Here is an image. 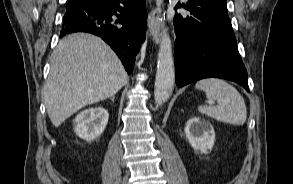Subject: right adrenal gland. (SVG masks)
<instances>
[{
  "label": "right adrenal gland",
  "instance_id": "obj_1",
  "mask_svg": "<svg viewBox=\"0 0 293 184\" xmlns=\"http://www.w3.org/2000/svg\"><path fill=\"white\" fill-rule=\"evenodd\" d=\"M110 99L114 102V100H115V96H112Z\"/></svg>",
  "mask_w": 293,
  "mask_h": 184
}]
</instances>
